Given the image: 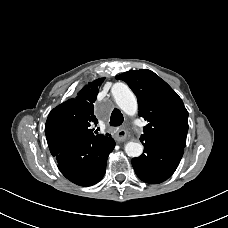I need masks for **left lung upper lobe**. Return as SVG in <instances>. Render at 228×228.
Returning a JSON list of instances; mask_svg holds the SVG:
<instances>
[{
    "instance_id": "obj_1",
    "label": "left lung upper lobe",
    "mask_w": 228,
    "mask_h": 228,
    "mask_svg": "<svg viewBox=\"0 0 228 228\" xmlns=\"http://www.w3.org/2000/svg\"><path fill=\"white\" fill-rule=\"evenodd\" d=\"M116 79L125 81L138 99L139 116L148 124L140 141H163L184 148L188 112L177 93L154 72L130 70Z\"/></svg>"
}]
</instances>
